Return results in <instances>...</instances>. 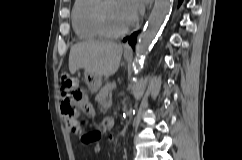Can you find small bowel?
<instances>
[{
  "label": "small bowel",
  "mask_w": 242,
  "mask_h": 160,
  "mask_svg": "<svg viewBox=\"0 0 242 160\" xmlns=\"http://www.w3.org/2000/svg\"><path fill=\"white\" fill-rule=\"evenodd\" d=\"M67 102H65V101H63L62 103H61V112H62V107L66 104ZM82 109H87V105H86V103H84V105H83V107H82ZM63 114V113H62ZM64 116V115H63ZM64 118H65V123H66V125H68L69 127H75V125H76V119L75 118H67V117H65L64 116ZM99 136H100V133L99 132H95L94 133V136L92 137V139H91V141L90 142H94V141H96L98 138H99ZM89 142V143H90Z\"/></svg>",
  "instance_id": "c3829d8e"
}]
</instances>
